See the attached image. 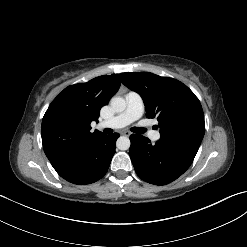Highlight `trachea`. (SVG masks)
Listing matches in <instances>:
<instances>
[{
	"label": "trachea",
	"instance_id": "1",
	"mask_svg": "<svg viewBox=\"0 0 247 247\" xmlns=\"http://www.w3.org/2000/svg\"><path fill=\"white\" fill-rule=\"evenodd\" d=\"M146 131L145 128H133V132L135 133H144ZM105 133H111L112 130L111 129H105L104 130Z\"/></svg>",
	"mask_w": 247,
	"mask_h": 247
}]
</instances>
